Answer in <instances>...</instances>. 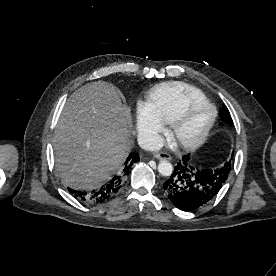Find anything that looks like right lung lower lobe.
<instances>
[{
	"label": "right lung lower lobe",
	"instance_id": "98d812e1",
	"mask_svg": "<svg viewBox=\"0 0 276 276\" xmlns=\"http://www.w3.org/2000/svg\"><path fill=\"white\" fill-rule=\"evenodd\" d=\"M139 154L137 152L130 153L120 170L101 188L91 192H80L69 189L79 200L87 203H102L109 197L113 196L124 184L128 177L131 167L134 163L139 162Z\"/></svg>",
	"mask_w": 276,
	"mask_h": 276
}]
</instances>
